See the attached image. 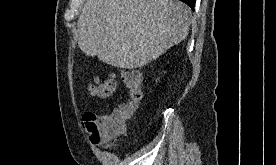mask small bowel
Masks as SVG:
<instances>
[{
    "instance_id": "obj_1",
    "label": "small bowel",
    "mask_w": 276,
    "mask_h": 165,
    "mask_svg": "<svg viewBox=\"0 0 276 165\" xmlns=\"http://www.w3.org/2000/svg\"><path fill=\"white\" fill-rule=\"evenodd\" d=\"M86 112H89V111H86ZM86 112H84L83 115H84ZM100 144H107V142H102V143H100Z\"/></svg>"
}]
</instances>
